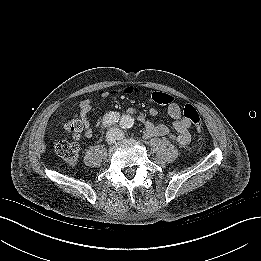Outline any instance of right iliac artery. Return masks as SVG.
<instances>
[{
	"label": "right iliac artery",
	"instance_id": "1",
	"mask_svg": "<svg viewBox=\"0 0 261 261\" xmlns=\"http://www.w3.org/2000/svg\"><path fill=\"white\" fill-rule=\"evenodd\" d=\"M120 115L116 112H110L103 117L102 126L107 127L114 125L119 121Z\"/></svg>",
	"mask_w": 261,
	"mask_h": 261
}]
</instances>
